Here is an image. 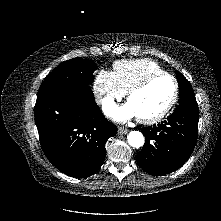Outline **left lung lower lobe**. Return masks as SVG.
<instances>
[{
    "label": "left lung lower lobe",
    "instance_id": "1",
    "mask_svg": "<svg viewBox=\"0 0 221 221\" xmlns=\"http://www.w3.org/2000/svg\"><path fill=\"white\" fill-rule=\"evenodd\" d=\"M198 109L175 110L167 120L141 129L146 140L137 163L148 174L166 175L191 156L197 141Z\"/></svg>",
    "mask_w": 221,
    "mask_h": 221
}]
</instances>
